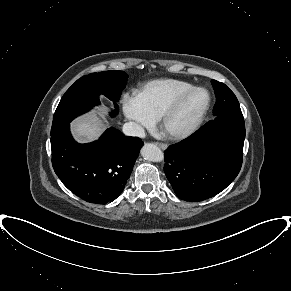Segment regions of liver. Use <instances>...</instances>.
Instances as JSON below:
<instances>
[{"mask_svg": "<svg viewBox=\"0 0 291 291\" xmlns=\"http://www.w3.org/2000/svg\"><path fill=\"white\" fill-rule=\"evenodd\" d=\"M105 121L96 115H89L72 122V132L81 142L96 140L104 131Z\"/></svg>", "mask_w": 291, "mask_h": 291, "instance_id": "6515ba94", "label": "liver"}]
</instances>
